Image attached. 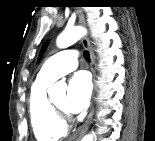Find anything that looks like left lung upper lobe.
I'll list each match as a JSON object with an SVG mask.
<instances>
[{"mask_svg":"<svg viewBox=\"0 0 155 141\" xmlns=\"http://www.w3.org/2000/svg\"><path fill=\"white\" fill-rule=\"evenodd\" d=\"M45 46H46V45H44V46H43V48H42V50H41V52H40V55H41V54H42V52L44 51Z\"/></svg>","mask_w":155,"mask_h":141,"instance_id":"5c2ea615","label":"left lung upper lobe"}]
</instances>
